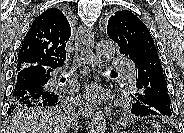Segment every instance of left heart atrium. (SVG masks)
Segmentation results:
<instances>
[{
    "label": "left heart atrium",
    "instance_id": "left-heart-atrium-1",
    "mask_svg": "<svg viewBox=\"0 0 184 133\" xmlns=\"http://www.w3.org/2000/svg\"><path fill=\"white\" fill-rule=\"evenodd\" d=\"M86 96L89 98V99H92V100H95L98 98L99 96V93L97 91V88L96 87H89L86 91Z\"/></svg>",
    "mask_w": 184,
    "mask_h": 133
}]
</instances>
